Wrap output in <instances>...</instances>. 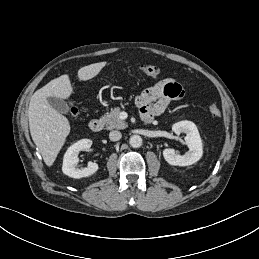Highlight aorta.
<instances>
[{
  "label": "aorta",
  "instance_id": "1",
  "mask_svg": "<svg viewBox=\"0 0 259 259\" xmlns=\"http://www.w3.org/2000/svg\"><path fill=\"white\" fill-rule=\"evenodd\" d=\"M129 143L133 148H139L142 145V138L139 135H132L129 139Z\"/></svg>",
  "mask_w": 259,
  "mask_h": 259
}]
</instances>
